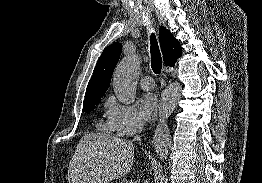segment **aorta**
I'll return each mask as SVG.
<instances>
[{
    "instance_id": "aorta-1",
    "label": "aorta",
    "mask_w": 262,
    "mask_h": 183,
    "mask_svg": "<svg viewBox=\"0 0 262 183\" xmlns=\"http://www.w3.org/2000/svg\"><path fill=\"white\" fill-rule=\"evenodd\" d=\"M140 69L138 56L124 59L116 67L113 76V88L118 100L131 104L135 100L137 88V73ZM182 87L179 83L169 85L161 95L159 106V122L154 131V149L160 159H166L171 147L170 130L167 120L181 98Z\"/></svg>"
}]
</instances>
